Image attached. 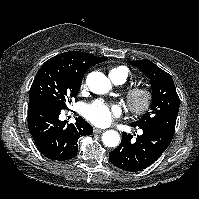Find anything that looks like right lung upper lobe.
<instances>
[{
  "instance_id": "1",
  "label": "right lung upper lobe",
  "mask_w": 199,
  "mask_h": 199,
  "mask_svg": "<svg viewBox=\"0 0 199 199\" xmlns=\"http://www.w3.org/2000/svg\"><path fill=\"white\" fill-rule=\"evenodd\" d=\"M105 57H97L86 52L71 51L59 54L47 60L44 65L57 68L83 78L84 73L98 63L105 61Z\"/></svg>"
}]
</instances>
